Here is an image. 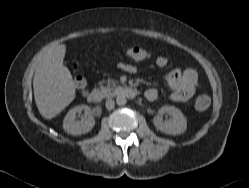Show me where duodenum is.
Returning <instances> with one entry per match:
<instances>
[{
    "instance_id": "410a0bca",
    "label": "duodenum",
    "mask_w": 249,
    "mask_h": 188,
    "mask_svg": "<svg viewBox=\"0 0 249 188\" xmlns=\"http://www.w3.org/2000/svg\"><path fill=\"white\" fill-rule=\"evenodd\" d=\"M118 94L120 96H124V97L132 99L136 97L137 92L132 87L123 86L118 90ZM85 97L88 102L95 104V103H99L103 99V94L99 90H92L86 93Z\"/></svg>"
}]
</instances>
